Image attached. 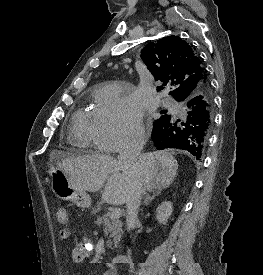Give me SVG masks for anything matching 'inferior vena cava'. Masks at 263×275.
Returning <instances> with one entry per match:
<instances>
[{
    "label": "inferior vena cava",
    "mask_w": 263,
    "mask_h": 275,
    "mask_svg": "<svg viewBox=\"0 0 263 275\" xmlns=\"http://www.w3.org/2000/svg\"><path fill=\"white\" fill-rule=\"evenodd\" d=\"M143 145V141L128 143L122 147L118 156V161L122 166L123 173L130 180V188L126 199V225L128 231L134 229L139 221L138 211L144 192L139 167V156Z\"/></svg>",
    "instance_id": "602c4592"
}]
</instances>
